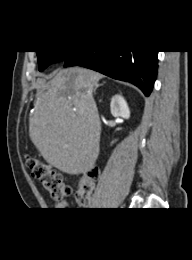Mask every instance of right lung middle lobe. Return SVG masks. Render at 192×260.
Here are the masks:
<instances>
[{"instance_id":"right-lung-middle-lobe-1","label":"right lung middle lobe","mask_w":192,"mask_h":260,"mask_svg":"<svg viewBox=\"0 0 192 260\" xmlns=\"http://www.w3.org/2000/svg\"><path fill=\"white\" fill-rule=\"evenodd\" d=\"M36 53L40 71L52 63L64 61L72 54L71 51H36Z\"/></svg>"}]
</instances>
